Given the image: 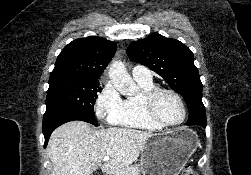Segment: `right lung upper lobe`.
Segmentation results:
<instances>
[{
  "mask_svg": "<svg viewBox=\"0 0 251 175\" xmlns=\"http://www.w3.org/2000/svg\"><path fill=\"white\" fill-rule=\"evenodd\" d=\"M116 48L114 42L98 36L73 40L59 54L50 79L99 85L98 79Z\"/></svg>",
  "mask_w": 251,
  "mask_h": 175,
  "instance_id": "right-lung-upper-lobe-1",
  "label": "right lung upper lobe"
}]
</instances>
